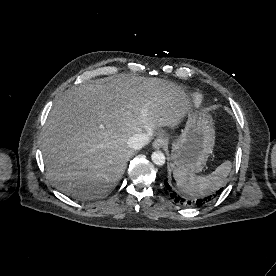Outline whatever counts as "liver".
<instances>
[{"instance_id":"liver-1","label":"liver","mask_w":276,"mask_h":276,"mask_svg":"<svg viewBox=\"0 0 276 276\" xmlns=\"http://www.w3.org/2000/svg\"><path fill=\"white\" fill-rule=\"evenodd\" d=\"M190 113L184 89L159 78L121 74L72 87L54 102L42 134L48 178L74 198L99 197L122 177L131 136L175 128Z\"/></svg>"}]
</instances>
